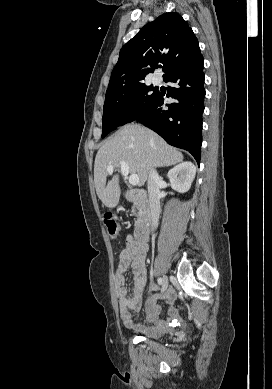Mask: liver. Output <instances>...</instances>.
Instances as JSON below:
<instances>
[{"label":"liver","instance_id":"obj_1","mask_svg":"<svg viewBox=\"0 0 272 389\" xmlns=\"http://www.w3.org/2000/svg\"><path fill=\"white\" fill-rule=\"evenodd\" d=\"M121 161L128 164L131 174L138 175V185L143 186L152 168L180 163L183 155L146 127L138 124L121 127L100 147L94 163L96 193L108 208L117 206L121 190L118 174L106 183L107 168L113 166L119 172Z\"/></svg>","mask_w":272,"mask_h":389}]
</instances>
